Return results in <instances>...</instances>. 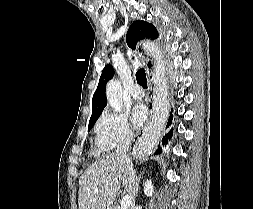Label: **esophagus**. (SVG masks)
Instances as JSON below:
<instances>
[{
  "instance_id": "34e87169",
  "label": "esophagus",
  "mask_w": 253,
  "mask_h": 209,
  "mask_svg": "<svg viewBox=\"0 0 253 209\" xmlns=\"http://www.w3.org/2000/svg\"><path fill=\"white\" fill-rule=\"evenodd\" d=\"M153 118H154V107L150 105L148 119L145 125L142 127V130H146L153 123Z\"/></svg>"
}]
</instances>
